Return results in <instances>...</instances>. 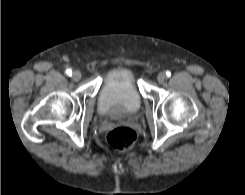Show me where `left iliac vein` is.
<instances>
[{
  "mask_svg": "<svg viewBox=\"0 0 245 195\" xmlns=\"http://www.w3.org/2000/svg\"><path fill=\"white\" fill-rule=\"evenodd\" d=\"M166 79V76L164 73H159L158 76H157V81L158 83L162 84Z\"/></svg>",
  "mask_w": 245,
  "mask_h": 195,
  "instance_id": "left-iliac-vein-1",
  "label": "left iliac vein"
}]
</instances>
